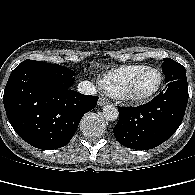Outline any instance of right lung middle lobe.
Here are the masks:
<instances>
[{
	"mask_svg": "<svg viewBox=\"0 0 195 195\" xmlns=\"http://www.w3.org/2000/svg\"><path fill=\"white\" fill-rule=\"evenodd\" d=\"M18 67H31L49 74L55 79L58 88H69L75 80V72L58 64L45 63L41 61L25 60Z\"/></svg>",
	"mask_w": 195,
	"mask_h": 195,
	"instance_id": "obj_1",
	"label": "right lung middle lobe"
}]
</instances>
